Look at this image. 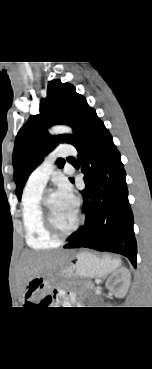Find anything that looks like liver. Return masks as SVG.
<instances>
[{"label":"liver","mask_w":152,"mask_h":369,"mask_svg":"<svg viewBox=\"0 0 152 369\" xmlns=\"http://www.w3.org/2000/svg\"><path fill=\"white\" fill-rule=\"evenodd\" d=\"M61 261L63 254L60 252H25L20 260L23 284L47 273Z\"/></svg>","instance_id":"6515ba94"}]
</instances>
